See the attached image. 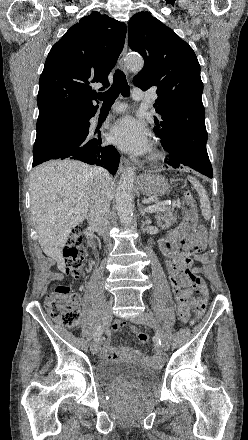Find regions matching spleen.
<instances>
[{
    "label": "spleen",
    "mask_w": 248,
    "mask_h": 440,
    "mask_svg": "<svg viewBox=\"0 0 248 440\" xmlns=\"http://www.w3.org/2000/svg\"><path fill=\"white\" fill-rule=\"evenodd\" d=\"M188 180L194 186V188L196 189V191L199 194L200 208L202 211V215L204 216V218L206 220H209L211 218V206H210V201H209L208 195L206 193V190L199 183V181H197V179H195L194 177L188 176Z\"/></svg>",
    "instance_id": "1"
}]
</instances>
